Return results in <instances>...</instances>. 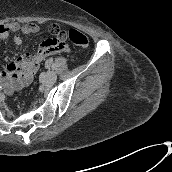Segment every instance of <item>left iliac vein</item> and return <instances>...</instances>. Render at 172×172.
I'll return each instance as SVG.
<instances>
[{
    "mask_svg": "<svg viewBox=\"0 0 172 172\" xmlns=\"http://www.w3.org/2000/svg\"><path fill=\"white\" fill-rule=\"evenodd\" d=\"M57 79V75L53 71H47V81L49 83H54Z\"/></svg>",
    "mask_w": 172,
    "mask_h": 172,
    "instance_id": "left-iliac-vein-1",
    "label": "left iliac vein"
}]
</instances>
